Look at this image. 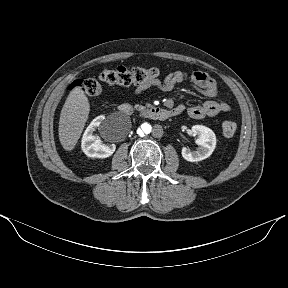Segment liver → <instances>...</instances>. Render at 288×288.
<instances>
[{
  "mask_svg": "<svg viewBox=\"0 0 288 288\" xmlns=\"http://www.w3.org/2000/svg\"><path fill=\"white\" fill-rule=\"evenodd\" d=\"M90 105L80 87H75L68 95L59 119V140L66 151H71L84 129Z\"/></svg>",
  "mask_w": 288,
  "mask_h": 288,
  "instance_id": "liver-1",
  "label": "liver"
}]
</instances>
